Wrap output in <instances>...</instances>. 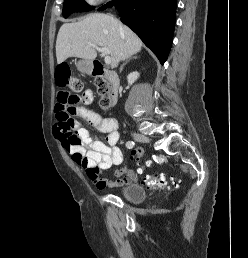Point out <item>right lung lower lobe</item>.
I'll use <instances>...</instances> for the list:
<instances>
[{
    "mask_svg": "<svg viewBox=\"0 0 248 258\" xmlns=\"http://www.w3.org/2000/svg\"><path fill=\"white\" fill-rule=\"evenodd\" d=\"M113 4L120 12L121 21L164 64L172 45L177 0H114L99 10Z\"/></svg>",
    "mask_w": 248,
    "mask_h": 258,
    "instance_id": "right-lung-lower-lobe-1",
    "label": "right lung lower lobe"
}]
</instances>
